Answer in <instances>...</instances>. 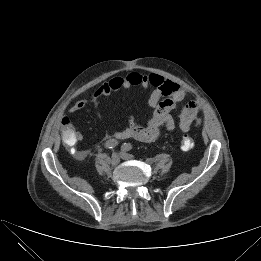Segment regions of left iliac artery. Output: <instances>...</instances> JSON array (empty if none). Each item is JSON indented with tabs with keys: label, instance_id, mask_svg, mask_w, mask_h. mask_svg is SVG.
<instances>
[{
	"label": "left iliac artery",
	"instance_id": "1",
	"mask_svg": "<svg viewBox=\"0 0 261 261\" xmlns=\"http://www.w3.org/2000/svg\"><path fill=\"white\" fill-rule=\"evenodd\" d=\"M131 149H132V145L130 143H124L121 146V150H123V151H130Z\"/></svg>",
	"mask_w": 261,
	"mask_h": 261
}]
</instances>
